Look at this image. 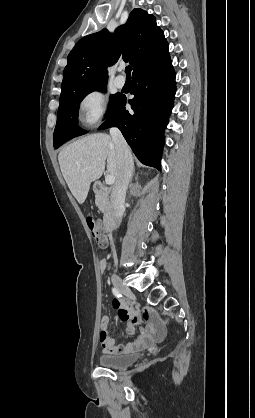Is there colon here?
Returning a JSON list of instances; mask_svg holds the SVG:
<instances>
[{"instance_id": "5ec220e1", "label": "colon", "mask_w": 255, "mask_h": 418, "mask_svg": "<svg viewBox=\"0 0 255 418\" xmlns=\"http://www.w3.org/2000/svg\"><path fill=\"white\" fill-rule=\"evenodd\" d=\"M86 222L97 245L100 247H105L107 245V236L98 221L89 216L87 217Z\"/></svg>"}]
</instances>
